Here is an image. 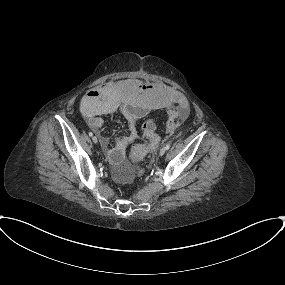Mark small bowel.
Returning a JSON list of instances; mask_svg holds the SVG:
<instances>
[{
    "instance_id": "1",
    "label": "small bowel",
    "mask_w": 285,
    "mask_h": 285,
    "mask_svg": "<svg viewBox=\"0 0 285 285\" xmlns=\"http://www.w3.org/2000/svg\"><path fill=\"white\" fill-rule=\"evenodd\" d=\"M161 108H167L168 119L175 116L184 121L188 117L190 103L183 95L160 83H144L135 79L107 82L90 90L81 101V111L115 169L124 160L127 145L138 137L136 121ZM116 112L126 120L128 133L117 137L114 146H110L102 116Z\"/></svg>"
}]
</instances>
